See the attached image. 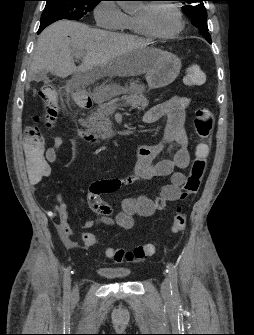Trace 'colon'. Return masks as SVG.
Segmentation results:
<instances>
[{"instance_id":"obj_1","label":"colon","mask_w":254,"mask_h":335,"mask_svg":"<svg viewBox=\"0 0 254 335\" xmlns=\"http://www.w3.org/2000/svg\"><path fill=\"white\" fill-rule=\"evenodd\" d=\"M204 74L200 66L191 64L186 68L184 83L187 86H197L203 82ZM41 95L46 101V112L37 119L47 126H50L56 120L58 112V97L53 86H43ZM194 126L196 134L200 139H207L213 130L214 117L210 109L205 107L197 108L194 112ZM43 135L39 127L30 126L27 128L24 138L23 166L25 178H52L51 166L47 159H43ZM209 156V147L201 142L196 147L195 158L191 167V171L183 185L180 195L181 200H186L189 196L195 194L200 189L202 179L204 177L207 160ZM186 227V215L181 207H178L171 223V231L180 233ZM84 245L87 248H93L98 245V239L90 233L83 236ZM156 243H146L135 247L132 250L121 248H109L105 254L115 263H138L156 252Z\"/></svg>"}]
</instances>
